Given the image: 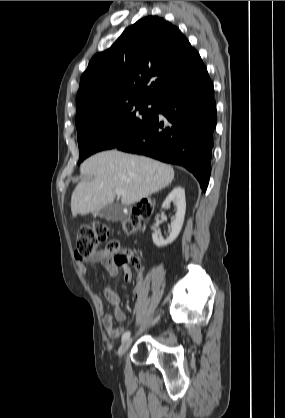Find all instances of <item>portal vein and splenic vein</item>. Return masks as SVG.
Here are the masks:
<instances>
[{
    "label": "portal vein and splenic vein",
    "mask_w": 285,
    "mask_h": 418,
    "mask_svg": "<svg viewBox=\"0 0 285 418\" xmlns=\"http://www.w3.org/2000/svg\"><path fill=\"white\" fill-rule=\"evenodd\" d=\"M115 193H116L117 196H120L123 192L121 190H119V189H116L115 190Z\"/></svg>",
    "instance_id": "18ae733b"
}]
</instances>
